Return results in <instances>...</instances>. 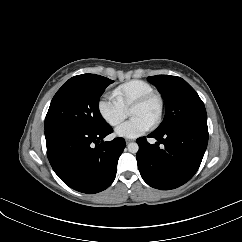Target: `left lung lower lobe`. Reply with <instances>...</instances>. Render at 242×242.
I'll list each match as a JSON object with an SVG mask.
<instances>
[{
    "mask_svg": "<svg viewBox=\"0 0 242 242\" xmlns=\"http://www.w3.org/2000/svg\"><path fill=\"white\" fill-rule=\"evenodd\" d=\"M148 137L158 142L151 145L145 137L137 139L140 174L156 189H174L189 181L201 164L208 143L207 122L183 123L162 133L154 131Z\"/></svg>",
    "mask_w": 242,
    "mask_h": 242,
    "instance_id": "1",
    "label": "left lung lower lobe"
}]
</instances>
